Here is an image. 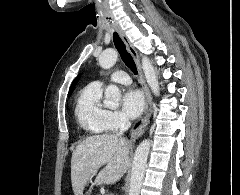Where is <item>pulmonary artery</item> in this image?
<instances>
[{
	"instance_id": "obj_1",
	"label": "pulmonary artery",
	"mask_w": 240,
	"mask_h": 195,
	"mask_svg": "<svg viewBox=\"0 0 240 195\" xmlns=\"http://www.w3.org/2000/svg\"><path fill=\"white\" fill-rule=\"evenodd\" d=\"M111 80L123 84H128L131 81L130 78H128V75L125 74V71H116Z\"/></svg>"
}]
</instances>
